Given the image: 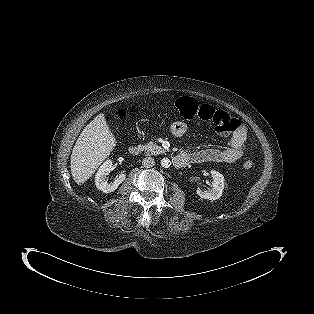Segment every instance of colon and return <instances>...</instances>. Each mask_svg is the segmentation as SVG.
<instances>
[{"instance_id":"1","label":"colon","mask_w":314,"mask_h":314,"mask_svg":"<svg viewBox=\"0 0 314 314\" xmlns=\"http://www.w3.org/2000/svg\"><path fill=\"white\" fill-rule=\"evenodd\" d=\"M177 109L183 119L192 120L198 118L202 121L213 123L216 132L220 134L235 132L239 128L237 119L229 113L215 109L207 104H200L194 98L188 96L180 97L177 100ZM117 116L119 119H123L126 116V111L120 110ZM252 167L253 161L251 158L246 157L241 161L242 169L250 170Z\"/></svg>"}]
</instances>
